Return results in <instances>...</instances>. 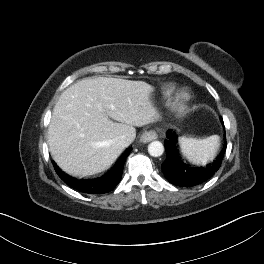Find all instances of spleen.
<instances>
[{
	"label": "spleen",
	"mask_w": 264,
	"mask_h": 264,
	"mask_svg": "<svg viewBox=\"0 0 264 264\" xmlns=\"http://www.w3.org/2000/svg\"><path fill=\"white\" fill-rule=\"evenodd\" d=\"M182 154L194 164H204L212 160L219 148L220 137L212 135L204 139L182 136L179 138Z\"/></svg>",
	"instance_id": "1"
}]
</instances>
